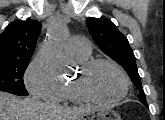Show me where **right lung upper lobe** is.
Instances as JSON below:
<instances>
[{"mask_svg":"<svg viewBox=\"0 0 165 120\" xmlns=\"http://www.w3.org/2000/svg\"><path fill=\"white\" fill-rule=\"evenodd\" d=\"M40 30L41 23L32 19L10 23L0 35V59H30Z\"/></svg>","mask_w":165,"mask_h":120,"instance_id":"1","label":"right lung upper lobe"}]
</instances>
